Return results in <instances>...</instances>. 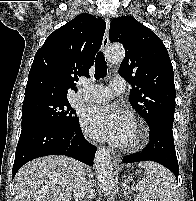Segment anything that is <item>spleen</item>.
I'll return each instance as SVG.
<instances>
[{
  "label": "spleen",
  "instance_id": "1",
  "mask_svg": "<svg viewBox=\"0 0 196 201\" xmlns=\"http://www.w3.org/2000/svg\"><path fill=\"white\" fill-rule=\"evenodd\" d=\"M138 166L145 170V177L137 184L134 201H175V177L169 170L151 161Z\"/></svg>",
  "mask_w": 196,
  "mask_h": 201
}]
</instances>
